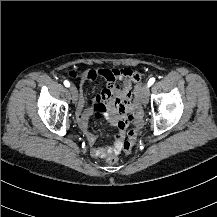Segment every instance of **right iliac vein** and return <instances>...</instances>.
I'll return each mask as SVG.
<instances>
[{"label": "right iliac vein", "instance_id": "1", "mask_svg": "<svg viewBox=\"0 0 217 217\" xmlns=\"http://www.w3.org/2000/svg\"><path fill=\"white\" fill-rule=\"evenodd\" d=\"M70 92L72 95V102L74 104H78L79 103V96H78V90L75 86H71L70 87Z\"/></svg>", "mask_w": 217, "mask_h": 217}]
</instances>
